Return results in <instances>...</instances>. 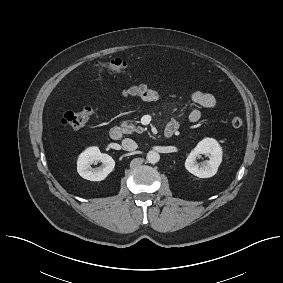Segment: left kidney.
I'll return each instance as SVG.
<instances>
[{
	"label": "left kidney",
	"instance_id": "left-kidney-1",
	"mask_svg": "<svg viewBox=\"0 0 283 283\" xmlns=\"http://www.w3.org/2000/svg\"><path fill=\"white\" fill-rule=\"evenodd\" d=\"M201 154L209 155V160L200 165L196 160ZM221 162L222 148L215 139L205 138L190 152L185 161V168L199 178H209L217 173Z\"/></svg>",
	"mask_w": 283,
	"mask_h": 283
}]
</instances>
